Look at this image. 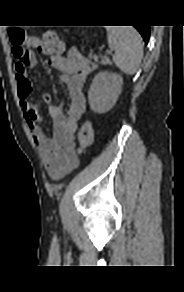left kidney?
Instances as JSON below:
<instances>
[{"mask_svg":"<svg viewBox=\"0 0 184 292\" xmlns=\"http://www.w3.org/2000/svg\"><path fill=\"white\" fill-rule=\"evenodd\" d=\"M123 79L115 73L99 72L93 79L89 92V105L95 113H106L115 105Z\"/></svg>","mask_w":184,"mask_h":292,"instance_id":"1","label":"left kidney"}]
</instances>
